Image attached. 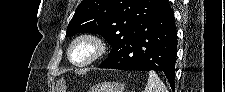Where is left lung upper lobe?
<instances>
[{"mask_svg":"<svg viewBox=\"0 0 225 92\" xmlns=\"http://www.w3.org/2000/svg\"><path fill=\"white\" fill-rule=\"evenodd\" d=\"M166 3L167 0H83L67 27L66 37L85 32L102 35L112 46L111 57Z\"/></svg>","mask_w":225,"mask_h":92,"instance_id":"5c2ea615","label":"left lung upper lobe"}]
</instances>
